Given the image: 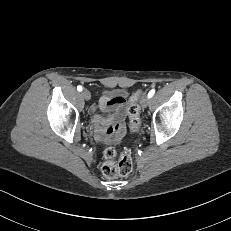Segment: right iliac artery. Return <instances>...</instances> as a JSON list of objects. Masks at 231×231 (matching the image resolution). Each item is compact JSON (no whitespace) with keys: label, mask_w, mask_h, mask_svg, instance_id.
<instances>
[{"label":"right iliac artery","mask_w":231,"mask_h":231,"mask_svg":"<svg viewBox=\"0 0 231 231\" xmlns=\"http://www.w3.org/2000/svg\"><path fill=\"white\" fill-rule=\"evenodd\" d=\"M77 90H78V91H82V86H78V87H77Z\"/></svg>","instance_id":"82829eb1"}]
</instances>
